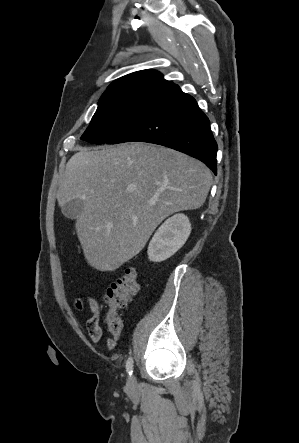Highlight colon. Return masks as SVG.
Here are the masks:
<instances>
[{
	"mask_svg": "<svg viewBox=\"0 0 299 443\" xmlns=\"http://www.w3.org/2000/svg\"><path fill=\"white\" fill-rule=\"evenodd\" d=\"M139 289L138 274L135 268H127L123 275L111 284L104 300L108 310L104 315V323L108 332L116 336L122 328V320L118 310L124 308Z\"/></svg>",
	"mask_w": 299,
	"mask_h": 443,
	"instance_id": "1",
	"label": "colon"
}]
</instances>
